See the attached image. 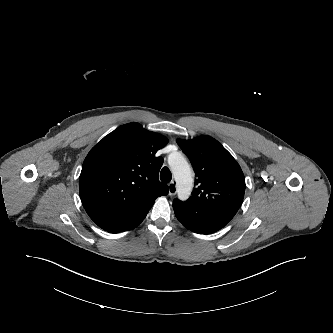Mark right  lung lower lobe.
I'll list each match as a JSON object with an SVG mask.
<instances>
[{
  "label": "right lung lower lobe",
  "instance_id": "1",
  "mask_svg": "<svg viewBox=\"0 0 333 333\" xmlns=\"http://www.w3.org/2000/svg\"><path fill=\"white\" fill-rule=\"evenodd\" d=\"M141 222H142V220L139 221V222L134 223L133 225H131L127 228L120 229V230H114V231H111L110 233H119V232H122V231H125V230H132L133 228L137 227Z\"/></svg>",
  "mask_w": 333,
  "mask_h": 333
}]
</instances>
